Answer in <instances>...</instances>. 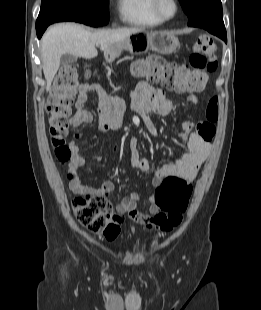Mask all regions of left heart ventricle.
Listing matches in <instances>:
<instances>
[{
	"label": "left heart ventricle",
	"instance_id": "obj_1",
	"mask_svg": "<svg viewBox=\"0 0 261 310\" xmlns=\"http://www.w3.org/2000/svg\"><path fill=\"white\" fill-rule=\"evenodd\" d=\"M160 10L164 15L169 16L174 11V5L171 0H160Z\"/></svg>",
	"mask_w": 261,
	"mask_h": 310
}]
</instances>
